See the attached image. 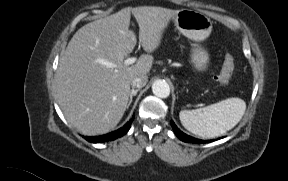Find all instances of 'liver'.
Here are the masks:
<instances>
[{"instance_id":"6515ba94","label":"liver","mask_w":288,"mask_h":181,"mask_svg":"<svg viewBox=\"0 0 288 181\" xmlns=\"http://www.w3.org/2000/svg\"><path fill=\"white\" fill-rule=\"evenodd\" d=\"M131 13L139 25V44L151 53L178 10L124 8L81 27L60 57L55 76L57 102L67 122L83 135L115 128L127 108L132 80L152 68L150 54H142L132 66L124 64L137 43L129 29Z\"/></svg>"}]
</instances>
